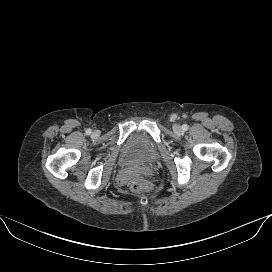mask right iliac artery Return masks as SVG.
<instances>
[{"mask_svg":"<svg viewBox=\"0 0 272 272\" xmlns=\"http://www.w3.org/2000/svg\"><path fill=\"white\" fill-rule=\"evenodd\" d=\"M91 132H92L91 129H87V130H86V134H87V135H90Z\"/></svg>","mask_w":272,"mask_h":272,"instance_id":"1","label":"right iliac artery"}]
</instances>
